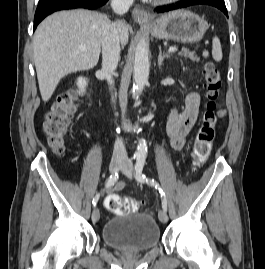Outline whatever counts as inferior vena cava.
<instances>
[{
    "label": "inferior vena cava",
    "mask_w": 265,
    "mask_h": 269,
    "mask_svg": "<svg viewBox=\"0 0 265 269\" xmlns=\"http://www.w3.org/2000/svg\"><path fill=\"white\" fill-rule=\"evenodd\" d=\"M134 0H112L111 7L118 14H124L128 11ZM120 59V39L118 34L117 23H108L102 37V72L108 84L113 87L112 75ZM113 100V99H112ZM113 160H126L127 152L123 140L117 137L114 150Z\"/></svg>",
    "instance_id": "inferior-vena-cava-1"
}]
</instances>
